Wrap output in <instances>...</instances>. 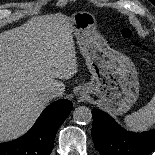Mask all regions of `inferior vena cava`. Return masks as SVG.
<instances>
[{"instance_id":"1","label":"inferior vena cava","mask_w":155,"mask_h":155,"mask_svg":"<svg viewBox=\"0 0 155 155\" xmlns=\"http://www.w3.org/2000/svg\"><path fill=\"white\" fill-rule=\"evenodd\" d=\"M64 90L58 86H49L43 91V95L48 99L60 97Z\"/></svg>"}]
</instances>
